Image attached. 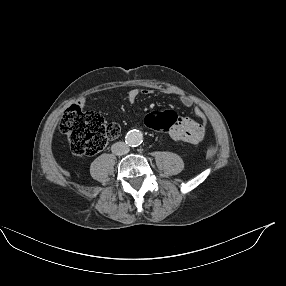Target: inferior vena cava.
<instances>
[{"instance_id":"602c4592","label":"inferior vena cava","mask_w":286,"mask_h":286,"mask_svg":"<svg viewBox=\"0 0 286 286\" xmlns=\"http://www.w3.org/2000/svg\"><path fill=\"white\" fill-rule=\"evenodd\" d=\"M112 152L115 155H125L129 152V146L124 142H116L111 147Z\"/></svg>"}]
</instances>
